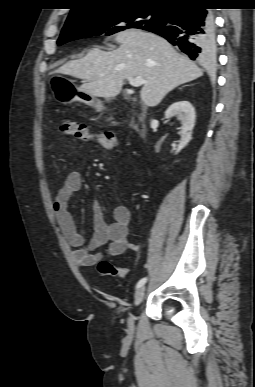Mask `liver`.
I'll return each mask as SVG.
<instances>
[{
	"label": "liver",
	"instance_id": "liver-1",
	"mask_svg": "<svg viewBox=\"0 0 255 387\" xmlns=\"http://www.w3.org/2000/svg\"><path fill=\"white\" fill-rule=\"evenodd\" d=\"M115 41L120 44L116 50L93 48L57 72L81 79L79 90L105 99L116 97L128 78L142 77L140 97L148 107L157 106L170 91L203 75L202 69L154 33L130 29L116 34Z\"/></svg>",
	"mask_w": 255,
	"mask_h": 387
}]
</instances>
